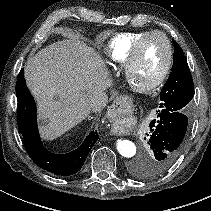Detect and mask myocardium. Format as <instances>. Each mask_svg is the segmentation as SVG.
<instances>
[{
    "instance_id": "f54148a6",
    "label": "myocardium",
    "mask_w": 211,
    "mask_h": 211,
    "mask_svg": "<svg viewBox=\"0 0 211 211\" xmlns=\"http://www.w3.org/2000/svg\"><path fill=\"white\" fill-rule=\"evenodd\" d=\"M160 36L163 38V40L166 43L167 46V60L166 63L162 69V71L160 72V74L158 75V77L149 85L147 86H136L131 79V74H132V70L134 68V66L136 65L138 59H139V55H140V51L141 48L144 44V42L151 36ZM172 63H173V48H172V44L170 39L161 31H149L147 33H145L142 37H140L136 43L134 44L131 54L127 60V62L124 65V73H125V78L126 81L128 82V84L137 92L139 93H144V94H150L153 93L154 91H156L166 80L171 67H172Z\"/></svg>"
}]
</instances>
